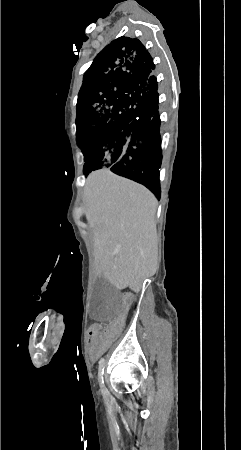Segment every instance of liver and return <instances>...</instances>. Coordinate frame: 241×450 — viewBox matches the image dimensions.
<instances>
[{
    "mask_svg": "<svg viewBox=\"0 0 241 450\" xmlns=\"http://www.w3.org/2000/svg\"><path fill=\"white\" fill-rule=\"evenodd\" d=\"M83 202L94 228L95 270L118 290L140 292L157 270V200L147 188L108 168L86 178Z\"/></svg>",
    "mask_w": 241,
    "mask_h": 450,
    "instance_id": "obj_1",
    "label": "liver"
}]
</instances>
